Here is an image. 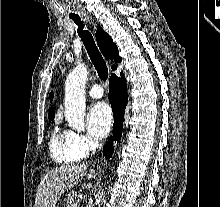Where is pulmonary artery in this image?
Returning a JSON list of instances; mask_svg holds the SVG:
<instances>
[{"label":"pulmonary artery","mask_w":220,"mask_h":207,"mask_svg":"<svg viewBox=\"0 0 220 207\" xmlns=\"http://www.w3.org/2000/svg\"><path fill=\"white\" fill-rule=\"evenodd\" d=\"M103 93V88L98 84L93 85L88 91L89 96L93 99L101 98Z\"/></svg>","instance_id":"obj_1"}]
</instances>
